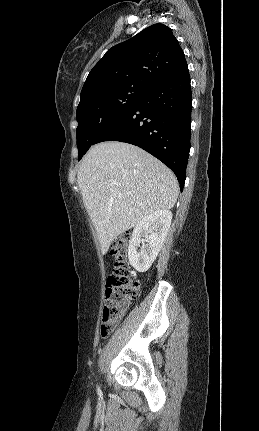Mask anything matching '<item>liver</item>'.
<instances>
[{"instance_id": "6515ba94", "label": "liver", "mask_w": 259, "mask_h": 431, "mask_svg": "<svg viewBox=\"0 0 259 431\" xmlns=\"http://www.w3.org/2000/svg\"><path fill=\"white\" fill-rule=\"evenodd\" d=\"M77 181L102 254L150 213L171 209L179 194L168 167L143 149L118 141L91 147Z\"/></svg>"}]
</instances>
